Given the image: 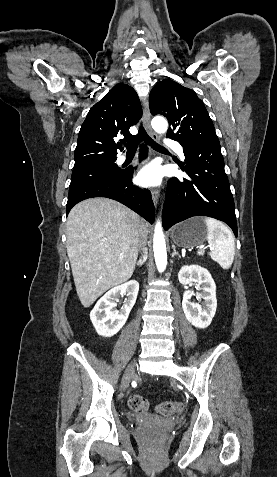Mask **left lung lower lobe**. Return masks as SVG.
Masks as SVG:
<instances>
[{"instance_id": "obj_1", "label": "left lung lower lobe", "mask_w": 277, "mask_h": 477, "mask_svg": "<svg viewBox=\"0 0 277 477\" xmlns=\"http://www.w3.org/2000/svg\"><path fill=\"white\" fill-rule=\"evenodd\" d=\"M189 179L172 178L163 208V227L193 216H208L228 224L237 237L235 205L224 170L220 144L184 145Z\"/></svg>"}]
</instances>
